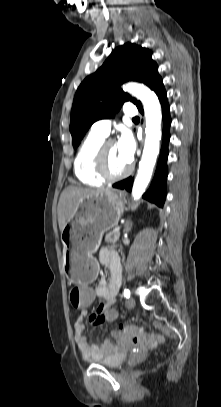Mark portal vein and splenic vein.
Returning a JSON list of instances; mask_svg holds the SVG:
<instances>
[{
  "label": "portal vein and splenic vein",
  "instance_id": "portal-vein-and-splenic-vein-1",
  "mask_svg": "<svg viewBox=\"0 0 221 407\" xmlns=\"http://www.w3.org/2000/svg\"><path fill=\"white\" fill-rule=\"evenodd\" d=\"M114 230L119 232V231H120V227H117V228H115Z\"/></svg>",
  "mask_w": 221,
  "mask_h": 407
}]
</instances>
